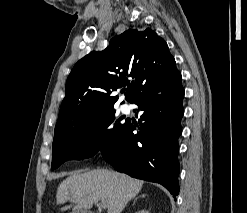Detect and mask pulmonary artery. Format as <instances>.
<instances>
[{"instance_id":"pulmonary-artery-1","label":"pulmonary artery","mask_w":247,"mask_h":213,"mask_svg":"<svg viewBox=\"0 0 247 213\" xmlns=\"http://www.w3.org/2000/svg\"><path fill=\"white\" fill-rule=\"evenodd\" d=\"M120 110H121L123 113H127V112H129L130 107H129L128 104H122V105H120Z\"/></svg>"}]
</instances>
